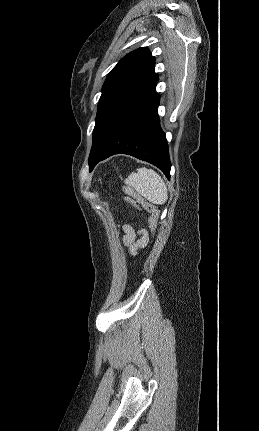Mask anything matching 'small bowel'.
Returning a JSON list of instances; mask_svg holds the SVG:
<instances>
[{"instance_id": "c3829d8e", "label": "small bowel", "mask_w": 259, "mask_h": 431, "mask_svg": "<svg viewBox=\"0 0 259 431\" xmlns=\"http://www.w3.org/2000/svg\"><path fill=\"white\" fill-rule=\"evenodd\" d=\"M123 242L127 247H129L132 254H136L138 249L146 246L148 242L147 232L145 230L136 232L130 226H125Z\"/></svg>"}]
</instances>
